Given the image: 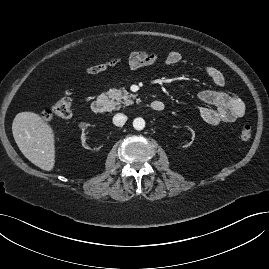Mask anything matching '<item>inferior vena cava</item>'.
<instances>
[{"label": "inferior vena cava", "instance_id": "1", "mask_svg": "<svg viewBox=\"0 0 269 269\" xmlns=\"http://www.w3.org/2000/svg\"><path fill=\"white\" fill-rule=\"evenodd\" d=\"M126 121H127V116L122 113H118L113 117V123L116 126H123Z\"/></svg>", "mask_w": 269, "mask_h": 269}]
</instances>
